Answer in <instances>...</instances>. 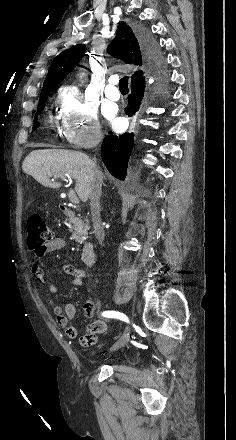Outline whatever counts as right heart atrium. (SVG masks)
<instances>
[{
  "instance_id": "d8ad5b80",
  "label": "right heart atrium",
  "mask_w": 236,
  "mask_h": 440,
  "mask_svg": "<svg viewBox=\"0 0 236 440\" xmlns=\"http://www.w3.org/2000/svg\"><path fill=\"white\" fill-rule=\"evenodd\" d=\"M58 119L60 134L72 147L90 148L102 141L96 107L77 88L59 90Z\"/></svg>"
}]
</instances>
